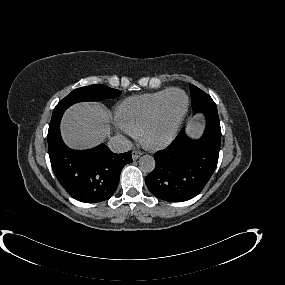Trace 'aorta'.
Listing matches in <instances>:
<instances>
[{"label":"aorta","mask_w":285,"mask_h":285,"mask_svg":"<svg viewBox=\"0 0 285 285\" xmlns=\"http://www.w3.org/2000/svg\"><path fill=\"white\" fill-rule=\"evenodd\" d=\"M155 159L151 155H143L139 159L140 169L145 173H150L155 168Z\"/></svg>","instance_id":"1"}]
</instances>
